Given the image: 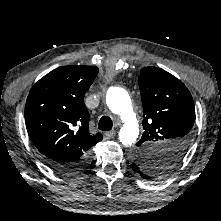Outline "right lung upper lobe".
<instances>
[{
	"instance_id": "1",
	"label": "right lung upper lobe",
	"mask_w": 221,
	"mask_h": 221,
	"mask_svg": "<svg viewBox=\"0 0 221 221\" xmlns=\"http://www.w3.org/2000/svg\"><path fill=\"white\" fill-rule=\"evenodd\" d=\"M97 73L95 66H62L32 87L25 105L26 128L45 160L80 161L102 140L100 133L90 134L84 104Z\"/></svg>"
}]
</instances>
